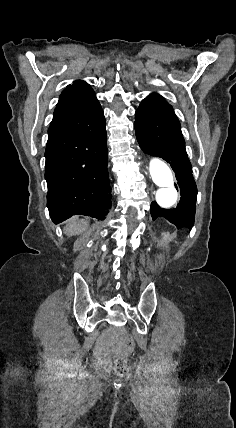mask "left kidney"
<instances>
[{
    "label": "left kidney",
    "instance_id": "obj_1",
    "mask_svg": "<svg viewBox=\"0 0 236 428\" xmlns=\"http://www.w3.org/2000/svg\"><path fill=\"white\" fill-rule=\"evenodd\" d=\"M163 236H165V238H169V234H163Z\"/></svg>",
    "mask_w": 236,
    "mask_h": 428
}]
</instances>
